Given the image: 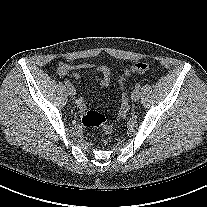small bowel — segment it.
<instances>
[{
    "instance_id": "obj_1",
    "label": "small bowel",
    "mask_w": 207,
    "mask_h": 207,
    "mask_svg": "<svg viewBox=\"0 0 207 207\" xmlns=\"http://www.w3.org/2000/svg\"><path fill=\"white\" fill-rule=\"evenodd\" d=\"M81 70H95L98 73L96 80L101 86H108L111 79V69L106 65H96L93 63L67 64L60 63L57 72L60 76H69L72 80L80 79Z\"/></svg>"
}]
</instances>
